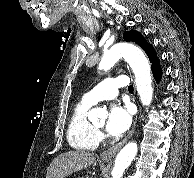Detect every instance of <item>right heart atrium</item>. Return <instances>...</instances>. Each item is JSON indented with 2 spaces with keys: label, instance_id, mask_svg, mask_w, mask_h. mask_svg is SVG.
<instances>
[{
  "label": "right heart atrium",
  "instance_id": "d8ad5b80",
  "mask_svg": "<svg viewBox=\"0 0 194 178\" xmlns=\"http://www.w3.org/2000/svg\"><path fill=\"white\" fill-rule=\"evenodd\" d=\"M98 134H99V138L102 139L103 138L102 133H98Z\"/></svg>",
  "mask_w": 194,
  "mask_h": 178
}]
</instances>
